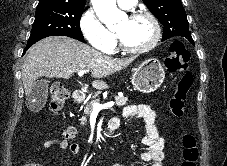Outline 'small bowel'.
Listing matches in <instances>:
<instances>
[{"label":"small bowel","mask_w":227,"mask_h":166,"mask_svg":"<svg viewBox=\"0 0 227 166\" xmlns=\"http://www.w3.org/2000/svg\"><path fill=\"white\" fill-rule=\"evenodd\" d=\"M122 116L124 118L138 117L144 120L146 134L142 142L147 148L140 153L139 157L141 160L149 162L150 166H163L165 141L159 135L156 127V112L148 104H135L124 107ZM114 119L118 127L119 119L117 117ZM75 137V127L69 126L62 131L58 138L44 142L38 149L57 145L61 151L69 150L72 155H77L80 153V146L76 143H69Z\"/></svg>","instance_id":"c3829d8e"}]
</instances>
